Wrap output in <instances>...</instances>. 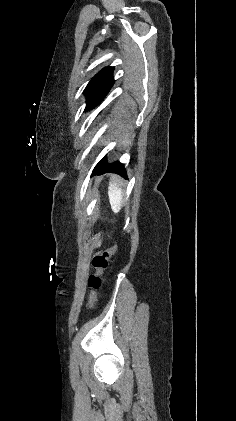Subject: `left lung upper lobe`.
I'll use <instances>...</instances> for the list:
<instances>
[{"label": "left lung upper lobe", "instance_id": "1", "mask_svg": "<svg viewBox=\"0 0 236 421\" xmlns=\"http://www.w3.org/2000/svg\"><path fill=\"white\" fill-rule=\"evenodd\" d=\"M113 69V67L102 69L87 84L84 90L87 99L86 111L98 105L110 91L114 84Z\"/></svg>", "mask_w": 236, "mask_h": 421}]
</instances>
